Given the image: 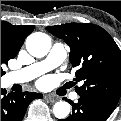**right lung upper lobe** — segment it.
<instances>
[{"mask_svg": "<svg viewBox=\"0 0 121 121\" xmlns=\"http://www.w3.org/2000/svg\"><path fill=\"white\" fill-rule=\"evenodd\" d=\"M34 30V26H14L1 21V39H5L13 48L20 50L24 39Z\"/></svg>", "mask_w": 121, "mask_h": 121, "instance_id": "cb5924a9", "label": "right lung upper lobe"}]
</instances>
